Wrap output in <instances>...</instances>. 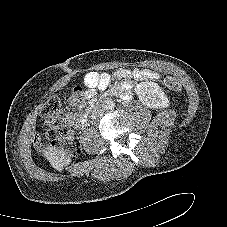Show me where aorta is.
Here are the masks:
<instances>
[{"mask_svg": "<svg viewBox=\"0 0 227 227\" xmlns=\"http://www.w3.org/2000/svg\"><path fill=\"white\" fill-rule=\"evenodd\" d=\"M114 106H115V103L111 99H106L102 104L103 109L108 111L112 110Z\"/></svg>", "mask_w": 227, "mask_h": 227, "instance_id": "1", "label": "aorta"}]
</instances>
